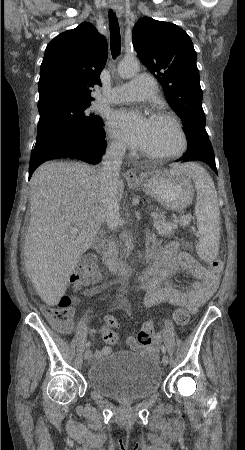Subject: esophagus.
Listing matches in <instances>:
<instances>
[{"instance_id": "obj_1", "label": "esophagus", "mask_w": 245, "mask_h": 450, "mask_svg": "<svg viewBox=\"0 0 245 450\" xmlns=\"http://www.w3.org/2000/svg\"><path fill=\"white\" fill-rule=\"evenodd\" d=\"M110 6H111V8H113V9H117V4H116V3H112ZM126 175H127V177H128L129 179H131V180H139V179H140L137 170H135V169H133V168L129 169V170L127 171Z\"/></svg>"}]
</instances>
